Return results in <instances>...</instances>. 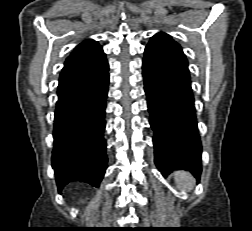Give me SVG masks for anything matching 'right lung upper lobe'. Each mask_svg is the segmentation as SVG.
<instances>
[{
	"label": "right lung upper lobe",
	"instance_id": "obj_1",
	"mask_svg": "<svg viewBox=\"0 0 252 231\" xmlns=\"http://www.w3.org/2000/svg\"><path fill=\"white\" fill-rule=\"evenodd\" d=\"M108 71V62L97 41L81 42L66 59L59 76L57 94L66 93L86 84Z\"/></svg>",
	"mask_w": 252,
	"mask_h": 231
}]
</instances>
